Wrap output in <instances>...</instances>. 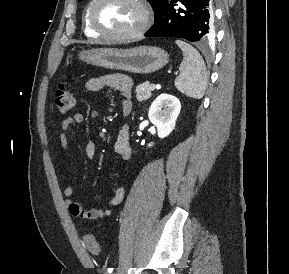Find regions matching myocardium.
Wrapping results in <instances>:
<instances>
[{"instance_id":"1","label":"myocardium","mask_w":289,"mask_h":274,"mask_svg":"<svg viewBox=\"0 0 289 274\" xmlns=\"http://www.w3.org/2000/svg\"><path fill=\"white\" fill-rule=\"evenodd\" d=\"M102 1L103 0H92L88 8L89 25L99 36L115 41H130L141 37L147 31L150 24V12L144 0H131L139 7L141 11V22L140 25L133 31L121 34L105 31L96 23L94 11L96 6Z\"/></svg>"}]
</instances>
